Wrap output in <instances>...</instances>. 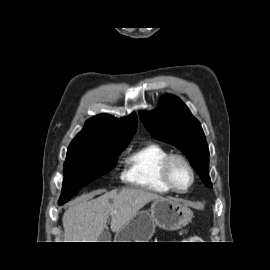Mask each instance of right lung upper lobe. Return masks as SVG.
Listing matches in <instances>:
<instances>
[{
	"mask_svg": "<svg viewBox=\"0 0 270 270\" xmlns=\"http://www.w3.org/2000/svg\"><path fill=\"white\" fill-rule=\"evenodd\" d=\"M137 127V116L117 119L100 114L86 121L84 129L77 134L70 145H109L129 142Z\"/></svg>",
	"mask_w": 270,
	"mask_h": 270,
	"instance_id": "cb5924a9",
	"label": "right lung upper lobe"
}]
</instances>
